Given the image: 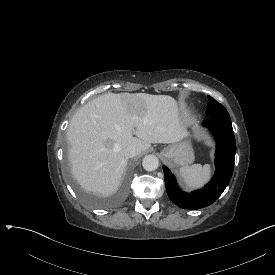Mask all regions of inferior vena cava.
Returning a JSON list of instances; mask_svg holds the SVG:
<instances>
[{
	"instance_id": "602c4592",
	"label": "inferior vena cava",
	"mask_w": 275,
	"mask_h": 275,
	"mask_svg": "<svg viewBox=\"0 0 275 275\" xmlns=\"http://www.w3.org/2000/svg\"><path fill=\"white\" fill-rule=\"evenodd\" d=\"M124 154L128 158H133L134 156H136L138 154V150L135 145H127L124 148Z\"/></svg>"
}]
</instances>
